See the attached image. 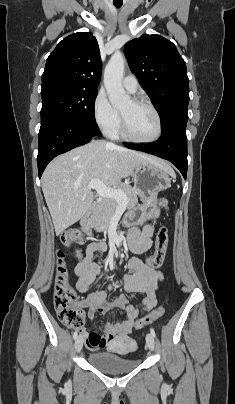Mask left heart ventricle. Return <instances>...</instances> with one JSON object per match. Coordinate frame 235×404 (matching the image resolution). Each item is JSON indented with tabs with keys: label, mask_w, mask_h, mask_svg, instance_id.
<instances>
[{
	"label": "left heart ventricle",
	"mask_w": 235,
	"mask_h": 404,
	"mask_svg": "<svg viewBox=\"0 0 235 404\" xmlns=\"http://www.w3.org/2000/svg\"><path fill=\"white\" fill-rule=\"evenodd\" d=\"M120 112L124 115L130 133L138 139H150L157 131V121L153 112L144 106H137L132 101L125 104Z\"/></svg>",
	"instance_id": "1"
}]
</instances>
